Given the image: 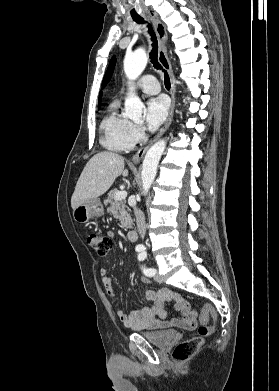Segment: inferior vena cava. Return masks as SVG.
<instances>
[{
    "label": "inferior vena cava",
    "mask_w": 279,
    "mask_h": 391,
    "mask_svg": "<svg viewBox=\"0 0 279 391\" xmlns=\"http://www.w3.org/2000/svg\"><path fill=\"white\" fill-rule=\"evenodd\" d=\"M134 214L136 217L137 229L140 237L143 239L146 233V224L144 213L137 207L134 208Z\"/></svg>",
    "instance_id": "obj_1"
}]
</instances>
